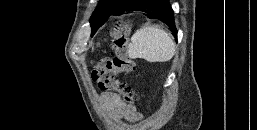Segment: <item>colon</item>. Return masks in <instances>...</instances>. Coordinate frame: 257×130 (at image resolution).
Returning <instances> with one entry per match:
<instances>
[{"label":"colon","instance_id":"5ec220e1","mask_svg":"<svg viewBox=\"0 0 257 130\" xmlns=\"http://www.w3.org/2000/svg\"><path fill=\"white\" fill-rule=\"evenodd\" d=\"M129 33L130 27L127 24H120L114 29L111 56L96 62L92 69V78L97 83L99 90L117 92L125 104L134 106L138 102L139 96L120 78L121 74L135 70V63L129 55Z\"/></svg>","mask_w":257,"mask_h":130}]
</instances>
